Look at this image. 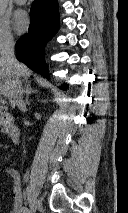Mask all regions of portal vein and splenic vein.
Masks as SVG:
<instances>
[{"mask_svg": "<svg viewBox=\"0 0 128 213\" xmlns=\"http://www.w3.org/2000/svg\"><path fill=\"white\" fill-rule=\"evenodd\" d=\"M0 104H2V105L6 104V100L4 98H2L1 96H0Z\"/></svg>", "mask_w": 128, "mask_h": 213, "instance_id": "portal-vein-and-splenic-vein-1", "label": "portal vein and splenic vein"}]
</instances>
